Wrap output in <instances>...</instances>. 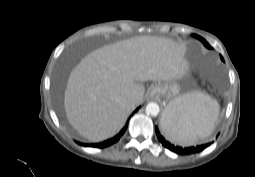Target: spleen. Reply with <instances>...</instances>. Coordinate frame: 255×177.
I'll return each instance as SVG.
<instances>
[{
    "mask_svg": "<svg viewBox=\"0 0 255 177\" xmlns=\"http://www.w3.org/2000/svg\"><path fill=\"white\" fill-rule=\"evenodd\" d=\"M162 121V131L173 143L188 146L211 135L219 114L218 102L208 94L192 92L173 99Z\"/></svg>",
    "mask_w": 255,
    "mask_h": 177,
    "instance_id": "3e777b00",
    "label": "spleen"
}]
</instances>
